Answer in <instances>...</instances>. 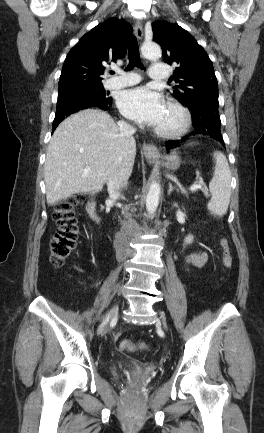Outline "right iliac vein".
<instances>
[{"mask_svg":"<svg viewBox=\"0 0 264 433\" xmlns=\"http://www.w3.org/2000/svg\"><path fill=\"white\" fill-rule=\"evenodd\" d=\"M118 313V307L117 305H114L108 315V321L105 323V325L103 326V328L101 329L100 333L101 335L106 334V332L108 331V322L115 319Z\"/></svg>","mask_w":264,"mask_h":433,"instance_id":"right-iliac-vein-1","label":"right iliac vein"}]
</instances>
